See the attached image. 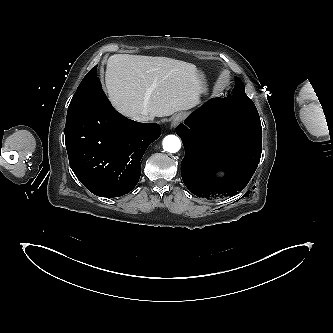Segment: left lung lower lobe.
I'll return each mask as SVG.
<instances>
[{
    "label": "left lung lower lobe",
    "instance_id": "0a47b994",
    "mask_svg": "<svg viewBox=\"0 0 333 333\" xmlns=\"http://www.w3.org/2000/svg\"><path fill=\"white\" fill-rule=\"evenodd\" d=\"M261 122L254 105L230 94L214 98L176 128L185 157L181 175L196 196H235L249 183L261 157ZM224 171V178L214 176Z\"/></svg>",
    "mask_w": 333,
    "mask_h": 333
}]
</instances>
